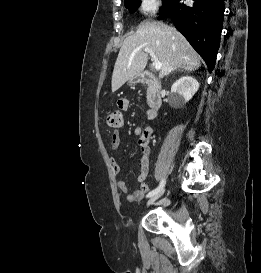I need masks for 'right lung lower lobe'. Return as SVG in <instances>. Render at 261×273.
<instances>
[{"instance_id":"right-lung-lower-lobe-1","label":"right lung lower lobe","mask_w":261,"mask_h":273,"mask_svg":"<svg viewBox=\"0 0 261 273\" xmlns=\"http://www.w3.org/2000/svg\"><path fill=\"white\" fill-rule=\"evenodd\" d=\"M223 15L224 0H195L191 6H186L185 0H174L161 11L158 19H172L211 73L220 45Z\"/></svg>"}]
</instances>
